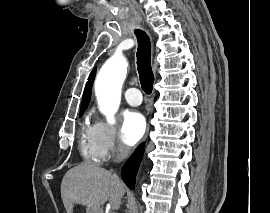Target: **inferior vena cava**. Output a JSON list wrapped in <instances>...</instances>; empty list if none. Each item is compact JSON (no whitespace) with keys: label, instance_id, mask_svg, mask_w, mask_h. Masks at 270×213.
<instances>
[{"label":"inferior vena cava","instance_id":"inferior-vena-cava-1","mask_svg":"<svg viewBox=\"0 0 270 213\" xmlns=\"http://www.w3.org/2000/svg\"><path fill=\"white\" fill-rule=\"evenodd\" d=\"M128 154H129V148L126 147V146L121 145L119 147V153L117 155L116 162L123 161L124 159L127 158Z\"/></svg>","mask_w":270,"mask_h":213}]
</instances>
